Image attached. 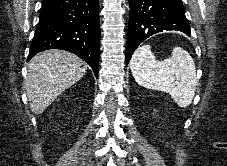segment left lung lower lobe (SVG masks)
<instances>
[{"label": "left lung lower lobe", "mask_w": 227, "mask_h": 166, "mask_svg": "<svg viewBox=\"0 0 227 166\" xmlns=\"http://www.w3.org/2000/svg\"><path fill=\"white\" fill-rule=\"evenodd\" d=\"M129 3L127 64L138 45L154 34L176 30L191 36L182 0H129Z\"/></svg>", "instance_id": "0a47b994"}]
</instances>
